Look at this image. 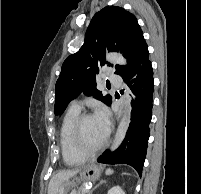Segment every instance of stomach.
Returning a JSON list of instances; mask_svg holds the SVG:
<instances>
[{
  "label": "stomach",
  "mask_w": 201,
  "mask_h": 194,
  "mask_svg": "<svg viewBox=\"0 0 201 194\" xmlns=\"http://www.w3.org/2000/svg\"><path fill=\"white\" fill-rule=\"evenodd\" d=\"M102 168L94 163L86 165L81 171L80 176L64 181L57 194H69V192L75 189L76 185L80 181H96L101 176Z\"/></svg>",
  "instance_id": "0dacf381"
}]
</instances>
